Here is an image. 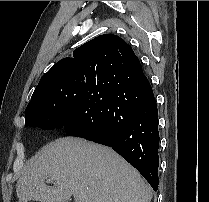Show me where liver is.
Returning <instances> with one entry per match:
<instances>
[{
  "label": "liver",
  "mask_w": 209,
  "mask_h": 202,
  "mask_svg": "<svg viewBox=\"0 0 209 202\" xmlns=\"http://www.w3.org/2000/svg\"><path fill=\"white\" fill-rule=\"evenodd\" d=\"M52 178L55 186H47ZM19 202H150L151 188L108 147L64 137L44 146L18 179Z\"/></svg>",
  "instance_id": "6515ba94"
}]
</instances>
